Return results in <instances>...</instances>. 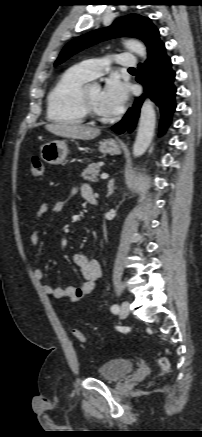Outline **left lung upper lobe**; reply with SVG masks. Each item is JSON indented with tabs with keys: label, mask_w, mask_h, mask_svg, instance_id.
Returning a JSON list of instances; mask_svg holds the SVG:
<instances>
[{
	"label": "left lung upper lobe",
	"mask_w": 202,
	"mask_h": 437,
	"mask_svg": "<svg viewBox=\"0 0 202 437\" xmlns=\"http://www.w3.org/2000/svg\"><path fill=\"white\" fill-rule=\"evenodd\" d=\"M132 36L143 40L147 46L148 57L163 43L159 39V30L151 20L137 14H130L117 19L111 26L94 30L70 41L60 53L55 65H59L84 48L102 40L118 36Z\"/></svg>",
	"instance_id": "left-lung-upper-lobe-1"
}]
</instances>
